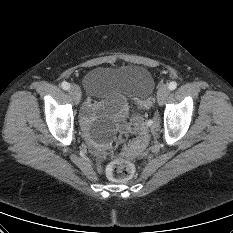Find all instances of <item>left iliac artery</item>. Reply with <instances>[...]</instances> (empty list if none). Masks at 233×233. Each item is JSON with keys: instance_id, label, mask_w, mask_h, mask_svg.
<instances>
[{"instance_id": "left-iliac-artery-1", "label": "left iliac artery", "mask_w": 233, "mask_h": 233, "mask_svg": "<svg viewBox=\"0 0 233 233\" xmlns=\"http://www.w3.org/2000/svg\"><path fill=\"white\" fill-rule=\"evenodd\" d=\"M176 87H177V83L175 81L170 82L168 85V88L170 90H174V89H176Z\"/></svg>"}]
</instances>
